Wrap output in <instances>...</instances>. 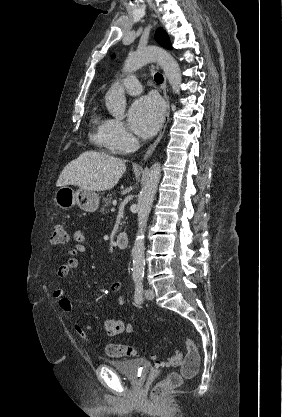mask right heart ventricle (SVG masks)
Here are the masks:
<instances>
[{
  "instance_id": "obj_1",
  "label": "right heart ventricle",
  "mask_w": 282,
  "mask_h": 417,
  "mask_svg": "<svg viewBox=\"0 0 282 417\" xmlns=\"http://www.w3.org/2000/svg\"><path fill=\"white\" fill-rule=\"evenodd\" d=\"M93 132L91 138L97 144L109 149L115 150L112 145V130L114 119L100 113H95L92 118Z\"/></svg>"
}]
</instances>
